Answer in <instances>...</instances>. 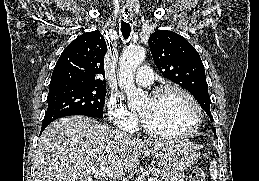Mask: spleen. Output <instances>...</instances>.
Instances as JSON below:
<instances>
[{
  "label": "spleen",
  "instance_id": "3e777b00",
  "mask_svg": "<svg viewBox=\"0 0 259 181\" xmlns=\"http://www.w3.org/2000/svg\"><path fill=\"white\" fill-rule=\"evenodd\" d=\"M209 171H210L211 179L213 181H217L216 179L218 177V171H217V165L215 160L211 161Z\"/></svg>",
  "mask_w": 259,
  "mask_h": 181
}]
</instances>
